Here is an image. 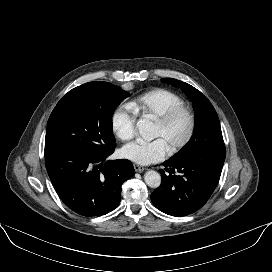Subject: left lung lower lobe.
<instances>
[{
    "label": "left lung lower lobe",
    "instance_id": "0a47b994",
    "mask_svg": "<svg viewBox=\"0 0 272 272\" xmlns=\"http://www.w3.org/2000/svg\"><path fill=\"white\" fill-rule=\"evenodd\" d=\"M161 169L162 183L151 201L160 211L171 216H187L202 208L215 190L223 165L194 157L169 159Z\"/></svg>",
    "mask_w": 272,
    "mask_h": 272
}]
</instances>
